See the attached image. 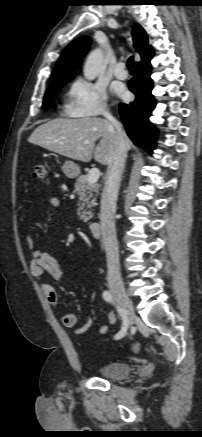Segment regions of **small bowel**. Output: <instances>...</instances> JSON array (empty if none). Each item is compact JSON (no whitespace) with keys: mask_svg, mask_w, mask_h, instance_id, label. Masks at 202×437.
Masks as SVG:
<instances>
[{"mask_svg":"<svg viewBox=\"0 0 202 437\" xmlns=\"http://www.w3.org/2000/svg\"><path fill=\"white\" fill-rule=\"evenodd\" d=\"M49 205L52 208H57L60 205V200L57 197H51L48 200ZM26 243L29 247L31 253V261L29 264L30 274L33 278L40 281L41 289L45 293L48 301L53 304H58V295L55 288L42 282L45 273H48L55 282H59L62 279L63 272L61 270L60 264L57 259L47 252H43L36 248L34 240L31 236H27ZM109 324H114L116 322V315L114 312H110L107 316ZM61 322L65 327L72 328L76 325L77 316L73 312H65L61 314ZM92 319L90 317L86 318L84 324L74 330L76 335L85 333L92 326ZM108 332V326L102 325L99 327L100 334H106Z\"/></svg>","mask_w":202,"mask_h":437,"instance_id":"obj_1","label":"small bowel"}]
</instances>
